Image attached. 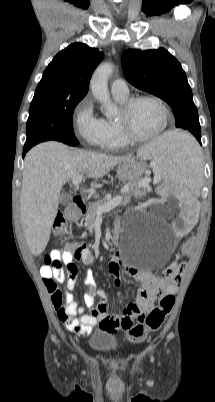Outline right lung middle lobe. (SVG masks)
I'll return each instance as SVG.
<instances>
[{"label": "right lung middle lobe", "mask_w": 215, "mask_h": 402, "mask_svg": "<svg viewBox=\"0 0 215 402\" xmlns=\"http://www.w3.org/2000/svg\"><path fill=\"white\" fill-rule=\"evenodd\" d=\"M82 98L56 97L48 94L33 97L27 120V140L32 147L47 140L71 146L79 144L73 132V111Z\"/></svg>", "instance_id": "obj_1"}]
</instances>
